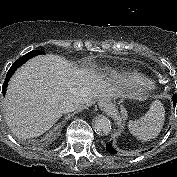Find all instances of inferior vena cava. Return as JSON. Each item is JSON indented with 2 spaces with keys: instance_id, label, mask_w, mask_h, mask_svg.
Returning a JSON list of instances; mask_svg holds the SVG:
<instances>
[{
  "instance_id": "obj_1",
  "label": "inferior vena cava",
  "mask_w": 177,
  "mask_h": 177,
  "mask_svg": "<svg viewBox=\"0 0 177 177\" xmlns=\"http://www.w3.org/2000/svg\"><path fill=\"white\" fill-rule=\"evenodd\" d=\"M81 105V102L76 99V98H69L64 100L61 104H60V111L62 113H69L72 111L77 110Z\"/></svg>"
}]
</instances>
